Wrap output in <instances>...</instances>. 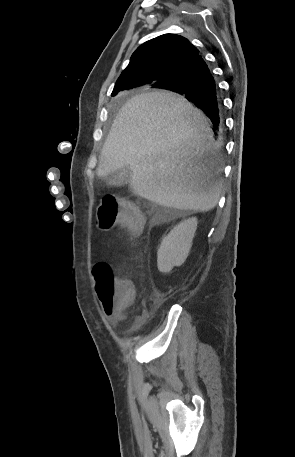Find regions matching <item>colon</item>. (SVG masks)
Masks as SVG:
<instances>
[{
	"mask_svg": "<svg viewBox=\"0 0 295 457\" xmlns=\"http://www.w3.org/2000/svg\"><path fill=\"white\" fill-rule=\"evenodd\" d=\"M143 216L131 203L121 202L113 195L102 198L96 214V225L102 231H108L120 224L139 232L143 226ZM98 298L107 315L121 316L132 304L136 296L134 283L117 278L111 267L99 262L93 267Z\"/></svg>",
	"mask_w": 295,
	"mask_h": 457,
	"instance_id": "obj_1",
	"label": "colon"
}]
</instances>
